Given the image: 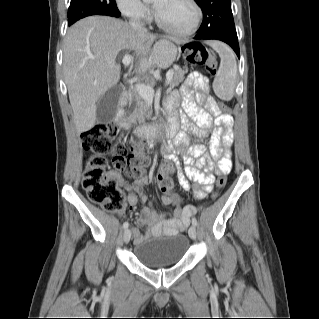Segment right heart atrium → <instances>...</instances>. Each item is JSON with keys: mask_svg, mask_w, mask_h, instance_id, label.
<instances>
[{"mask_svg": "<svg viewBox=\"0 0 319 319\" xmlns=\"http://www.w3.org/2000/svg\"><path fill=\"white\" fill-rule=\"evenodd\" d=\"M120 11L128 16L136 19H147L150 16L149 7L141 0H116Z\"/></svg>", "mask_w": 319, "mask_h": 319, "instance_id": "right-heart-atrium-1", "label": "right heart atrium"}]
</instances>
